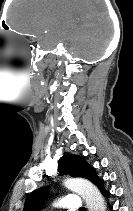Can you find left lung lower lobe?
<instances>
[{
  "label": "left lung lower lobe",
  "mask_w": 133,
  "mask_h": 211,
  "mask_svg": "<svg viewBox=\"0 0 133 211\" xmlns=\"http://www.w3.org/2000/svg\"><path fill=\"white\" fill-rule=\"evenodd\" d=\"M101 192H102V194L104 195V196H106V197H108L109 195H110V193L106 190V189H102L101 190ZM110 207V209H112V207L111 206H109Z\"/></svg>",
  "instance_id": "obj_1"
}]
</instances>
